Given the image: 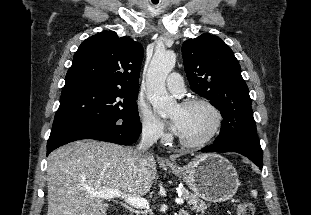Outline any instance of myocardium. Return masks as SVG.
Segmentation results:
<instances>
[{"label": "myocardium", "instance_id": "1", "mask_svg": "<svg viewBox=\"0 0 311 215\" xmlns=\"http://www.w3.org/2000/svg\"><path fill=\"white\" fill-rule=\"evenodd\" d=\"M181 107H191L196 105H202L207 107L214 115V125L211 129V131L201 140L198 141H187L178 136L179 143L187 148H201L205 145H207L209 142H211L215 136L219 133L222 123H223V116L221 111L217 108L215 104H213L211 101L205 99V98H189L184 101H182L179 104Z\"/></svg>", "mask_w": 311, "mask_h": 215}]
</instances>
